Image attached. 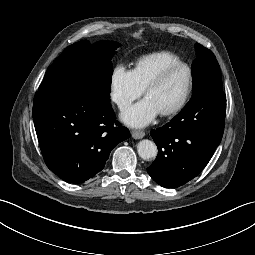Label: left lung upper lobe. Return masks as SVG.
Masks as SVG:
<instances>
[{"label":"left lung upper lobe","mask_w":255,"mask_h":255,"mask_svg":"<svg viewBox=\"0 0 255 255\" xmlns=\"http://www.w3.org/2000/svg\"><path fill=\"white\" fill-rule=\"evenodd\" d=\"M196 59L192 63L193 99L209 90L222 91V78L219 64L214 54L196 43Z\"/></svg>","instance_id":"5c2ea615"}]
</instances>
